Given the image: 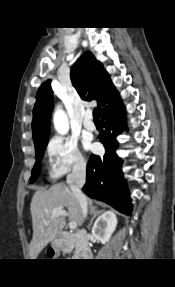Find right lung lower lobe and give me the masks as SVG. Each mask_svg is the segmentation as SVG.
<instances>
[{"label":"right lung lower lobe","instance_id":"98d812e1","mask_svg":"<svg viewBox=\"0 0 175 287\" xmlns=\"http://www.w3.org/2000/svg\"><path fill=\"white\" fill-rule=\"evenodd\" d=\"M124 114L122 101L101 114L105 130L100 133L99 140L103 143L106 153L103 157L90 156L83 191L89 197L103 201L119 212L130 215L132 204L127 184L123 182L121 170L123 161L115 152L117 148L115 137L123 127H126Z\"/></svg>","mask_w":175,"mask_h":287}]
</instances>
